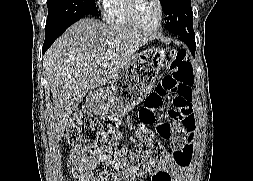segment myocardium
Listing matches in <instances>:
<instances>
[{
	"label": "myocardium",
	"mask_w": 253,
	"mask_h": 181,
	"mask_svg": "<svg viewBox=\"0 0 253 181\" xmlns=\"http://www.w3.org/2000/svg\"><path fill=\"white\" fill-rule=\"evenodd\" d=\"M158 7H159V20L157 25L149 27V26H145L143 25L137 18L136 15V0H126V12L127 15L131 21V23L142 30L145 31H156L158 29H160L163 25V21H164V14H165V9H164V4L162 0H156Z\"/></svg>",
	"instance_id": "myocardium-1"
}]
</instances>
